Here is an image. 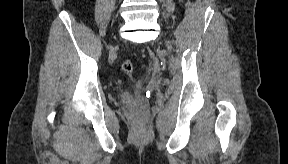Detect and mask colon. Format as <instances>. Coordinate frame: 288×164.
I'll return each instance as SVG.
<instances>
[{"label":"colon","mask_w":288,"mask_h":164,"mask_svg":"<svg viewBox=\"0 0 288 164\" xmlns=\"http://www.w3.org/2000/svg\"><path fill=\"white\" fill-rule=\"evenodd\" d=\"M122 71L125 73L126 76L129 78L132 77L134 71V65L131 61L126 60L121 65Z\"/></svg>","instance_id":"obj_1"}]
</instances>
